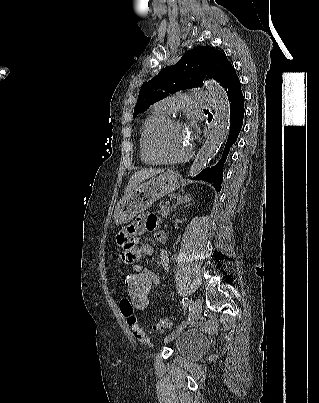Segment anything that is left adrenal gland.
I'll return each mask as SVG.
<instances>
[{"label": "left adrenal gland", "instance_id": "a2214340", "mask_svg": "<svg viewBox=\"0 0 319 403\" xmlns=\"http://www.w3.org/2000/svg\"><path fill=\"white\" fill-rule=\"evenodd\" d=\"M191 200H192V198L189 197L188 195H185V196L178 195V196H177V202H176V204H174V205L172 206L171 212H174V210L176 209V207H177L178 205H180V204H185V203H189Z\"/></svg>", "mask_w": 319, "mask_h": 403}]
</instances>
